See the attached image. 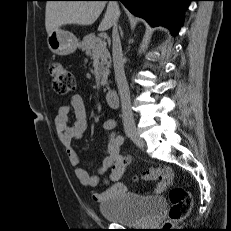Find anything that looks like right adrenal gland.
Segmentation results:
<instances>
[{"label":"right adrenal gland","mask_w":231,"mask_h":231,"mask_svg":"<svg viewBox=\"0 0 231 231\" xmlns=\"http://www.w3.org/2000/svg\"><path fill=\"white\" fill-rule=\"evenodd\" d=\"M119 30H120V33H121V36L123 35V31L121 29V27L119 26Z\"/></svg>","instance_id":"2a0ac1e0"}]
</instances>
